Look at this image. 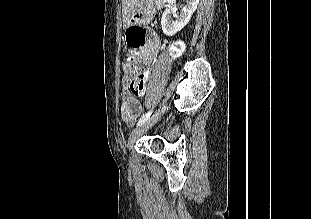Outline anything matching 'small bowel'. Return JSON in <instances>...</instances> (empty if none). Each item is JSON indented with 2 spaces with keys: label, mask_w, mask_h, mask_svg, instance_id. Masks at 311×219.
<instances>
[{
  "label": "small bowel",
  "mask_w": 311,
  "mask_h": 219,
  "mask_svg": "<svg viewBox=\"0 0 311 219\" xmlns=\"http://www.w3.org/2000/svg\"><path fill=\"white\" fill-rule=\"evenodd\" d=\"M132 31L130 27L127 31L129 38ZM129 44V52L142 60L145 65L151 64L156 58L160 40L154 34H151L146 40L140 44ZM130 79L128 76L122 78V101L120 105V115L124 122L133 123L141 112V104L135 94L129 91Z\"/></svg>",
  "instance_id": "small-bowel-1"
}]
</instances>
